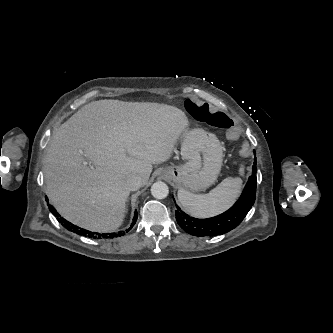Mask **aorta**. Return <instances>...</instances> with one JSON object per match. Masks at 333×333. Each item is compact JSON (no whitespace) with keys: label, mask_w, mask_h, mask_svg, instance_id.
Here are the masks:
<instances>
[{"label":"aorta","mask_w":333,"mask_h":333,"mask_svg":"<svg viewBox=\"0 0 333 333\" xmlns=\"http://www.w3.org/2000/svg\"><path fill=\"white\" fill-rule=\"evenodd\" d=\"M151 194L157 199H164L169 194L168 186L164 182H156L151 187Z\"/></svg>","instance_id":"obj_1"}]
</instances>
